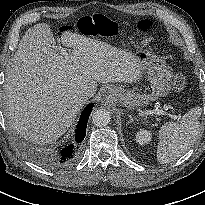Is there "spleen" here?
Masks as SVG:
<instances>
[{
	"label": "spleen",
	"mask_w": 205,
	"mask_h": 205,
	"mask_svg": "<svg viewBox=\"0 0 205 205\" xmlns=\"http://www.w3.org/2000/svg\"><path fill=\"white\" fill-rule=\"evenodd\" d=\"M201 111V107L192 108L179 122L162 125L157 148V159L161 164L178 159L193 146L200 130Z\"/></svg>",
	"instance_id": "spleen-1"
}]
</instances>
